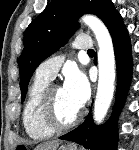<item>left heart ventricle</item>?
Returning a JSON list of instances; mask_svg holds the SVG:
<instances>
[{
    "label": "left heart ventricle",
    "mask_w": 139,
    "mask_h": 150,
    "mask_svg": "<svg viewBox=\"0 0 139 150\" xmlns=\"http://www.w3.org/2000/svg\"><path fill=\"white\" fill-rule=\"evenodd\" d=\"M79 110L80 108L72 102L62 87L56 89L54 93V112L60 122L67 123L71 121Z\"/></svg>",
    "instance_id": "obj_1"
}]
</instances>
